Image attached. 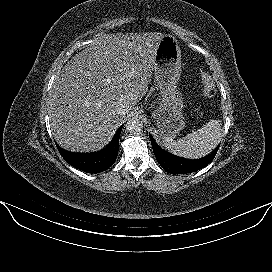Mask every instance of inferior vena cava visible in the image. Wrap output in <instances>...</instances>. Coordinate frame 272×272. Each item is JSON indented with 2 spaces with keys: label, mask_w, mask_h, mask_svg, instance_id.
<instances>
[{
  "label": "inferior vena cava",
  "mask_w": 272,
  "mask_h": 272,
  "mask_svg": "<svg viewBox=\"0 0 272 272\" xmlns=\"http://www.w3.org/2000/svg\"><path fill=\"white\" fill-rule=\"evenodd\" d=\"M130 108L126 105H124L123 103H118L115 106V112L118 115H125L129 112Z\"/></svg>",
  "instance_id": "inferior-vena-cava-1"
}]
</instances>
